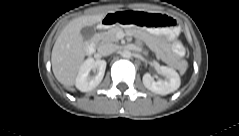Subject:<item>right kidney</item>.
<instances>
[{
	"label": "right kidney",
	"mask_w": 239,
	"mask_h": 136,
	"mask_svg": "<svg viewBox=\"0 0 239 136\" xmlns=\"http://www.w3.org/2000/svg\"><path fill=\"white\" fill-rule=\"evenodd\" d=\"M106 69V61L88 58L85 60L79 68L75 86L81 92H89L95 89L102 81ZM97 71L95 76H90V71Z\"/></svg>",
	"instance_id": "right-kidney-1"
}]
</instances>
